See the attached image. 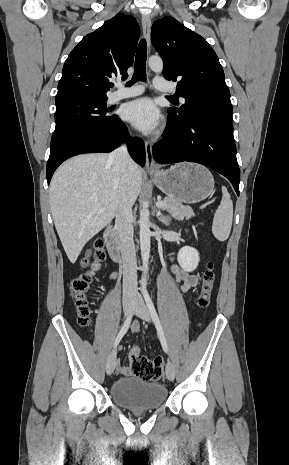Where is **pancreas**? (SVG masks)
Returning a JSON list of instances; mask_svg holds the SVG:
<instances>
[{
	"label": "pancreas",
	"mask_w": 289,
	"mask_h": 465,
	"mask_svg": "<svg viewBox=\"0 0 289 465\" xmlns=\"http://www.w3.org/2000/svg\"><path fill=\"white\" fill-rule=\"evenodd\" d=\"M163 202L164 206L162 209L168 211L174 218L178 220H188L194 216V212L190 206H185L176 199L165 197Z\"/></svg>",
	"instance_id": "cf45deb5"
}]
</instances>
